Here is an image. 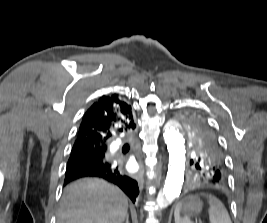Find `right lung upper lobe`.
I'll return each mask as SVG.
<instances>
[{
    "label": "right lung upper lobe",
    "mask_w": 267,
    "mask_h": 223,
    "mask_svg": "<svg viewBox=\"0 0 267 223\" xmlns=\"http://www.w3.org/2000/svg\"><path fill=\"white\" fill-rule=\"evenodd\" d=\"M135 128L131 106L118 94L103 95L84 114L73 149L90 146L106 151L108 139Z\"/></svg>",
    "instance_id": "1"
}]
</instances>
